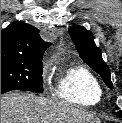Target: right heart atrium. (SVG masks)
Segmentation results:
<instances>
[{
    "label": "right heart atrium",
    "instance_id": "obj_1",
    "mask_svg": "<svg viewBox=\"0 0 122 123\" xmlns=\"http://www.w3.org/2000/svg\"><path fill=\"white\" fill-rule=\"evenodd\" d=\"M47 72H48V64L45 63V64L43 65V68H42V71H41L42 77H45L46 74H47Z\"/></svg>",
    "mask_w": 122,
    "mask_h": 123
}]
</instances>
